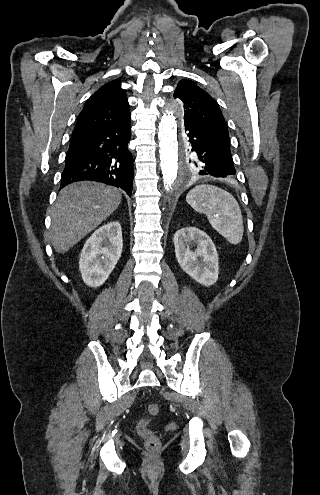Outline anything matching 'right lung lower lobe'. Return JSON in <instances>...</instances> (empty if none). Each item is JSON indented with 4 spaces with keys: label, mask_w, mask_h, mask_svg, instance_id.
I'll use <instances>...</instances> for the list:
<instances>
[{
    "label": "right lung lower lobe",
    "mask_w": 320,
    "mask_h": 495,
    "mask_svg": "<svg viewBox=\"0 0 320 495\" xmlns=\"http://www.w3.org/2000/svg\"><path fill=\"white\" fill-rule=\"evenodd\" d=\"M130 138V122L72 135L60 188L72 182L92 180L122 188L131 197L133 157L128 149Z\"/></svg>",
    "instance_id": "obj_1"
}]
</instances>
